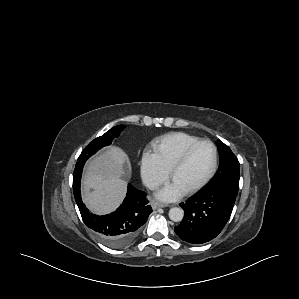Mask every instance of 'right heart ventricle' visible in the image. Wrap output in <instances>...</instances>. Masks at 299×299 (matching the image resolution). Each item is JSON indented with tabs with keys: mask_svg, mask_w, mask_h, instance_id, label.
Listing matches in <instances>:
<instances>
[{
	"mask_svg": "<svg viewBox=\"0 0 299 299\" xmlns=\"http://www.w3.org/2000/svg\"><path fill=\"white\" fill-rule=\"evenodd\" d=\"M199 140L198 137L187 133L173 132L153 140L151 147L160 164L170 171L185 149Z\"/></svg>",
	"mask_w": 299,
	"mask_h": 299,
	"instance_id": "e07e8e85",
	"label": "right heart ventricle"
}]
</instances>
